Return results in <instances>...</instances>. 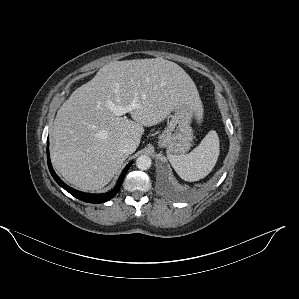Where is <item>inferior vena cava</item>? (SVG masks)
I'll use <instances>...</instances> for the list:
<instances>
[{"instance_id": "1", "label": "inferior vena cava", "mask_w": 299, "mask_h": 299, "mask_svg": "<svg viewBox=\"0 0 299 299\" xmlns=\"http://www.w3.org/2000/svg\"><path fill=\"white\" fill-rule=\"evenodd\" d=\"M137 146L132 139H125L120 143V150L125 154H132Z\"/></svg>"}]
</instances>
